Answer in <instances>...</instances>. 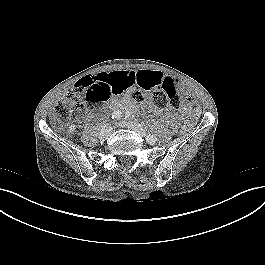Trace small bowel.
Wrapping results in <instances>:
<instances>
[{
  "mask_svg": "<svg viewBox=\"0 0 265 265\" xmlns=\"http://www.w3.org/2000/svg\"><path fill=\"white\" fill-rule=\"evenodd\" d=\"M97 76L109 78L108 85L114 95H119L134 86H138L143 90H153L159 88L166 77L174 78L157 70L113 71L99 73ZM112 103L117 104L116 101ZM126 105H130V102H126Z\"/></svg>",
  "mask_w": 265,
  "mask_h": 265,
  "instance_id": "obj_1",
  "label": "small bowel"
}]
</instances>
